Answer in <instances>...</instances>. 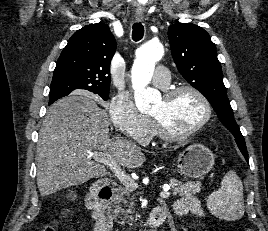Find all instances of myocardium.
Segmentation results:
<instances>
[{"label":"myocardium","instance_id":"myocardium-1","mask_svg":"<svg viewBox=\"0 0 268 231\" xmlns=\"http://www.w3.org/2000/svg\"><path fill=\"white\" fill-rule=\"evenodd\" d=\"M184 92H188V93L195 95L202 102L203 107H204V115L197 125H195L193 128L183 133L173 132L168 127L163 117L150 115L159 135L167 141L177 142V141H183L185 139L191 138L192 136L197 134L199 131H201L211 119L212 106H211L209 99L206 97V95L203 92H201L198 88L194 86L178 85L173 88H170L166 90L164 94L162 95L163 101L165 104H169L178 95Z\"/></svg>","mask_w":268,"mask_h":231}]
</instances>
